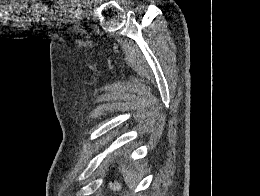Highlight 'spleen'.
<instances>
[{"mask_svg":"<svg viewBox=\"0 0 260 196\" xmlns=\"http://www.w3.org/2000/svg\"><path fill=\"white\" fill-rule=\"evenodd\" d=\"M119 170L124 178V182H126L127 186L133 190V188L137 186V182L140 180L136 172H133V170H127L126 166H121Z\"/></svg>","mask_w":260,"mask_h":196,"instance_id":"3e777b00","label":"spleen"}]
</instances>
